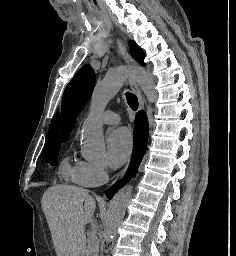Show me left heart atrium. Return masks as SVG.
<instances>
[{
  "label": "left heart atrium",
  "instance_id": "left-heart-atrium-1",
  "mask_svg": "<svg viewBox=\"0 0 236 256\" xmlns=\"http://www.w3.org/2000/svg\"><path fill=\"white\" fill-rule=\"evenodd\" d=\"M133 148V138L127 128H118L107 139V160L111 167L118 168L125 163Z\"/></svg>",
  "mask_w": 236,
  "mask_h": 256
}]
</instances>
